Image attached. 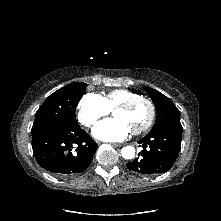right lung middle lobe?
<instances>
[{"mask_svg":"<svg viewBox=\"0 0 221 221\" xmlns=\"http://www.w3.org/2000/svg\"><path fill=\"white\" fill-rule=\"evenodd\" d=\"M86 86L83 82H75L51 94L37 110L31 133L53 123L78 125L75 110L85 94Z\"/></svg>","mask_w":221,"mask_h":221,"instance_id":"dd1d6c3e","label":"right lung middle lobe"}]
</instances>
